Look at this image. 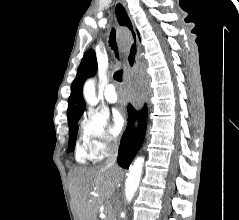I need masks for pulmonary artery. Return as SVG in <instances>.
Segmentation results:
<instances>
[{
  "label": "pulmonary artery",
  "instance_id": "e3ab8cb5",
  "mask_svg": "<svg viewBox=\"0 0 239 220\" xmlns=\"http://www.w3.org/2000/svg\"><path fill=\"white\" fill-rule=\"evenodd\" d=\"M105 99L110 103H115L118 101V95L116 93L115 86L113 84H109L104 93Z\"/></svg>",
  "mask_w": 239,
  "mask_h": 220
}]
</instances>
